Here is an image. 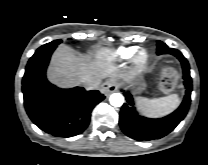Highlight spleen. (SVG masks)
Listing matches in <instances>:
<instances>
[{
    "instance_id": "1",
    "label": "spleen",
    "mask_w": 208,
    "mask_h": 165,
    "mask_svg": "<svg viewBox=\"0 0 208 165\" xmlns=\"http://www.w3.org/2000/svg\"><path fill=\"white\" fill-rule=\"evenodd\" d=\"M179 105L180 98L177 94L154 99L137 98L138 109L149 117H163L173 112Z\"/></svg>"
}]
</instances>
